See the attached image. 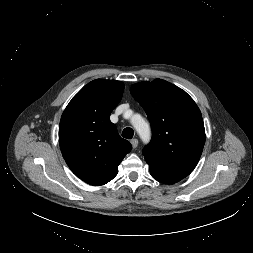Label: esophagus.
I'll use <instances>...</instances> for the list:
<instances>
[{"mask_svg":"<svg viewBox=\"0 0 253 253\" xmlns=\"http://www.w3.org/2000/svg\"><path fill=\"white\" fill-rule=\"evenodd\" d=\"M130 142L133 148H136L138 146V139L134 138Z\"/></svg>","mask_w":253,"mask_h":253,"instance_id":"esophagus-1","label":"esophagus"}]
</instances>
